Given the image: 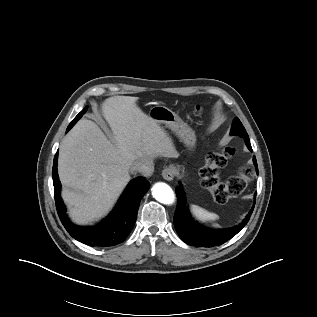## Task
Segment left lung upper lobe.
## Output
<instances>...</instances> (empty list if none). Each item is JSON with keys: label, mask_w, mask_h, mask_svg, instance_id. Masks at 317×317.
<instances>
[{"label": "left lung upper lobe", "mask_w": 317, "mask_h": 317, "mask_svg": "<svg viewBox=\"0 0 317 317\" xmlns=\"http://www.w3.org/2000/svg\"><path fill=\"white\" fill-rule=\"evenodd\" d=\"M231 135H240L245 139V141H249L248 134L244 126L242 125V123L237 117L233 121V126L231 128Z\"/></svg>", "instance_id": "left-lung-upper-lobe-1"}]
</instances>
